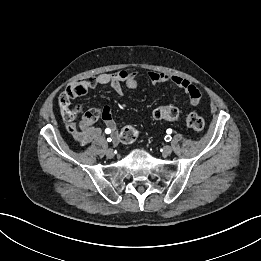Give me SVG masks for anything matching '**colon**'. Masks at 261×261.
<instances>
[{"label": "colon", "instance_id": "obj_1", "mask_svg": "<svg viewBox=\"0 0 261 261\" xmlns=\"http://www.w3.org/2000/svg\"><path fill=\"white\" fill-rule=\"evenodd\" d=\"M85 93L84 81H79L71 84L59 97V104L65 110V115L68 120L75 117V112L69 108L70 100L77 98ZM88 121H96L99 117L102 118L100 108H93L85 113ZM153 117L156 120L175 121L180 118L179 111L173 106L158 107L153 112ZM186 125L194 131H202L205 127L204 119L196 114L190 113L184 118ZM82 126V124H81ZM70 128V126H69ZM138 138V130L132 126H125L120 132V140L125 144H131Z\"/></svg>", "mask_w": 261, "mask_h": 261}]
</instances>
